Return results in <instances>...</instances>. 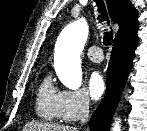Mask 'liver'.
Returning a JSON list of instances; mask_svg holds the SVG:
<instances>
[{
	"label": "liver",
	"instance_id": "obj_1",
	"mask_svg": "<svg viewBox=\"0 0 147 131\" xmlns=\"http://www.w3.org/2000/svg\"><path fill=\"white\" fill-rule=\"evenodd\" d=\"M22 131H78V129L63 124H52L48 122H29L25 124Z\"/></svg>",
	"mask_w": 147,
	"mask_h": 131
}]
</instances>
